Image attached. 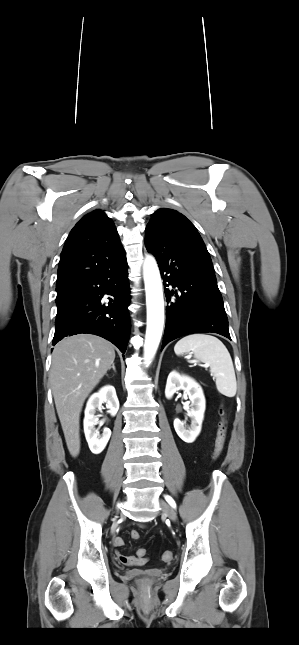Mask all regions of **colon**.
Masks as SVG:
<instances>
[{
  "label": "colon",
  "instance_id": "5ec220e1",
  "mask_svg": "<svg viewBox=\"0 0 299 645\" xmlns=\"http://www.w3.org/2000/svg\"><path fill=\"white\" fill-rule=\"evenodd\" d=\"M222 416H224V410L221 411ZM225 440H226V421L224 418H222L220 424H219V429L217 432V437L215 440V446H214V451H213V459L216 460L222 453L225 445ZM131 537L134 540L139 539L140 534L137 531H132L131 532ZM137 556L139 558H145L146 556V550L144 548H139L137 550ZM162 559L166 562L171 561L173 559V553L171 551H165L162 554Z\"/></svg>",
  "mask_w": 299,
  "mask_h": 645
}]
</instances>
